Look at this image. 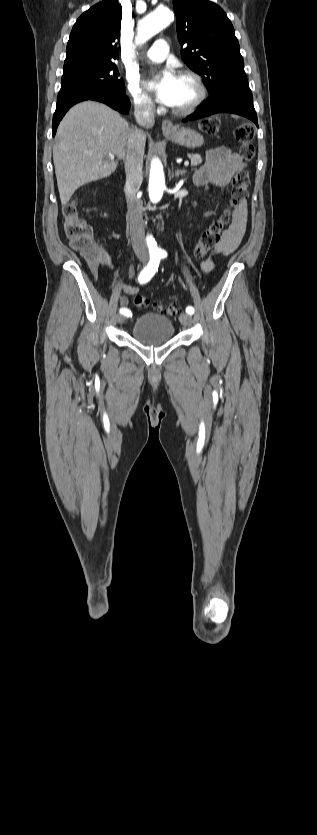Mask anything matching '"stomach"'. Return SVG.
Instances as JSON below:
<instances>
[{"label":"stomach","instance_id":"obj_1","mask_svg":"<svg viewBox=\"0 0 317 835\" xmlns=\"http://www.w3.org/2000/svg\"><path fill=\"white\" fill-rule=\"evenodd\" d=\"M172 142L187 148H198L204 144L203 137L188 127H176L172 132H164Z\"/></svg>","mask_w":317,"mask_h":835}]
</instances>
